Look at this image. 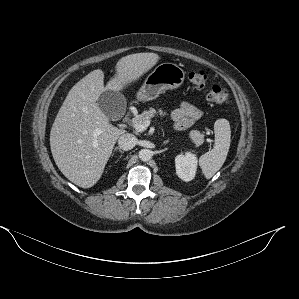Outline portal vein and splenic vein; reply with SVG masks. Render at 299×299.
Wrapping results in <instances>:
<instances>
[{
    "label": "portal vein and splenic vein",
    "instance_id": "18ae733b",
    "mask_svg": "<svg viewBox=\"0 0 299 299\" xmlns=\"http://www.w3.org/2000/svg\"><path fill=\"white\" fill-rule=\"evenodd\" d=\"M150 125V121H145L142 124H133L134 128L138 131L145 130Z\"/></svg>",
    "mask_w": 299,
    "mask_h": 299
}]
</instances>
